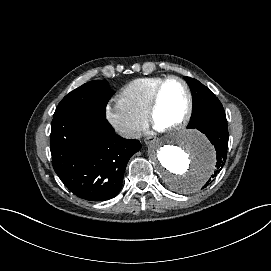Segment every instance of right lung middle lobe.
Wrapping results in <instances>:
<instances>
[{
  "mask_svg": "<svg viewBox=\"0 0 271 271\" xmlns=\"http://www.w3.org/2000/svg\"><path fill=\"white\" fill-rule=\"evenodd\" d=\"M113 94L107 81L87 82L62 99L53 118L74 110L105 114L106 105Z\"/></svg>",
  "mask_w": 271,
  "mask_h": 271,
  "instance_id": "right-lung-middle-lobe-1",
  "label": "right lung middle lobe"
}]
</instances>
